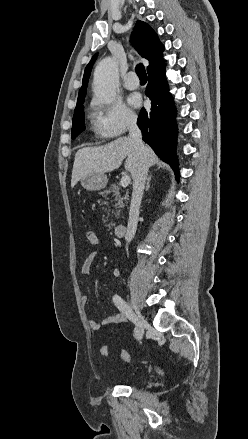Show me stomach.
<instances>
[{"mask_svg": "<svg viewBox=\"0 0 248 439\" xmlns=\"http://www.w3.org/2000/svg\"><path fill=\"white\" fill-rule=\"evenodd\" d=\"M108 178L104 173H90L81 179V185L88 191H97L106 187Z\"/></svg>", "mask_w": 248, "mask_h": 439, "instance_id": "1", "label": "stomach"}]
</instances>
